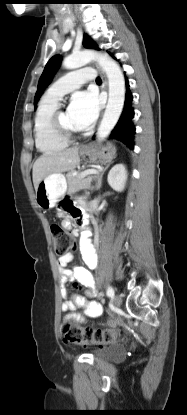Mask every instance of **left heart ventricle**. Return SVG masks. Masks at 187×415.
<instances>
[{"mask_svg":"<svg viewBox=\"0 0 187 415\" xmlns=\"http://www.w3.org/2000/svg\"><path fill=\"white\" fill-rule=\"evenodd\" d=\"M60 120L62 124L64 125V127H66L67 129L72 130V131H80V129L76 127L73 121L71 120L67 111H63L61 113Z\"/></svg>","mask_w":187,"mask_h":415,"instance_id":"b2bd125f","label":"left heart ventricle"}]
</instances>
